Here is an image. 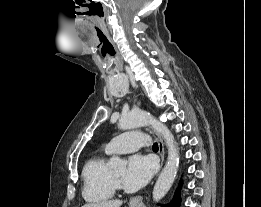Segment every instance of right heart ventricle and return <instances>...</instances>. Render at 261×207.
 Segmentation results:
<instances>
[{
	"label": "right heart ventricle",
	"mask_w": 261,
	"mask_h": 207,
	"mask_svg": "<svg viewBox=\"0 0 261 207\" xmlns=\"http://www.w3.org/2000/svg\"><path fill=\"white\" fill-rule=\"evenodd\" d=\"M110 153L105 151L89 159L82 170V195L87 202H102L111 199L116 187L111 179V170L108 166Z\"/></svg>",
	"instance_id": "1"
}]
</instances>
